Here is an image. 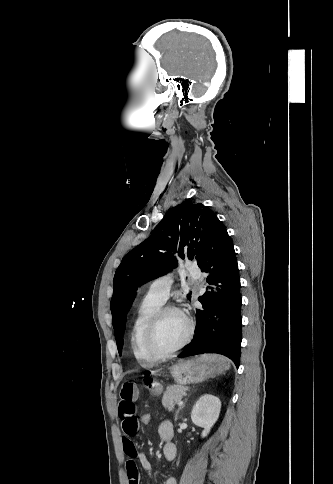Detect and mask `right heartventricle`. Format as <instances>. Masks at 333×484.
I'll use <instances>...</instances> for the list:
<instances>
[{
  "label": "right heart ventricle",
  "instance_id": "1",
  "mask_svg": "<svg viewBox=\"0 0 333 484\" xmlns=\"http://www.w3.org/2000/svg\"><path fill=\"white\" fill-rule=\"evenodd\" d=\"M161 306L162 303L146 296L139 305L132 324L130 333L131 349L136 360L142 366H150L157 361V359L151 357L145 350L144 334L149 320Z\"/></svg>",
  "mask_w": 333,
  "mask_h": 484
}]
</instances>
